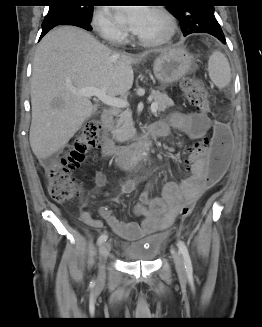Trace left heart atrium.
<instances>
[{
	"label": "left heart atrium",
	"instance_id": "left-heart-atrium-1",
	"mask_svg": "<svg viewBox=\"0 0 262 327\" xmlns=\"http://www.w3.org/2000/svg\"><path fill=\"white\" fill-rule=\"evenodd\" d=\"M151 10L142 6H127L116 8L118 20L129 30L138 32Z\"/></svg>",
	"mask_w": 262,
	"mask_h": 327
}]
</instances>
